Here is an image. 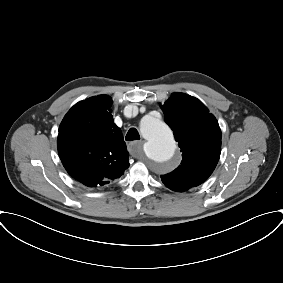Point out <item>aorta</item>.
Instances as JSON below:
<instances>
[{"label": "aorta", "instance_id": "1", "mask_svg": "<svg viewBox=\"0 0 283 283\" xmlns=\"http://www.w3.org/2000/svg\"><path fill=\"white\" fill-rule=\"evenodd\" d=\"M141 132L145 139L143 150L147 158L159 169L169 167L175 152V140L171 129L158 119L144 121Z\"/></svg>", "mask_w": 283, "mask_h": 283}]
</instances>
